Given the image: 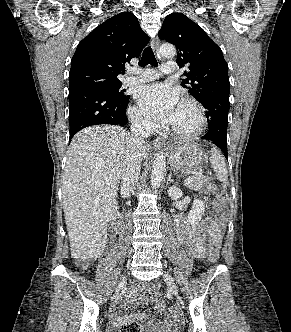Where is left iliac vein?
Masks as SVG:
<instances>
[{
	"mask_svg": "<svg viewBox=\"0 0 291 332\" xmlns=\"http://www.w3.org/2000/svg\"><path fill=\"white\" fill-rule=\"evenodd\" d=\"M163 278H164L166 284L168 285L170 292L173 295H175V297L177 299H179L178 289H177V287L175 285V282H174L172 276L168 272H165L164 275H163Z\"/></svg>",
	"mask_w": 291,
	"mask_h": 332,
	"instance_id": "1",
	"label": "left iliac vein"
}]
</instances>
